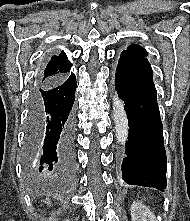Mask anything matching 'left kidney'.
I'll return each instance as SVG.
<instances>
[{
  "mask_svg": "<svg viewBox=\"0 0 190 221\" xmlns=\"http://www.w3.org/2000/svg\"><path fill=\"white\" fill-rule=\"evenodd\" d=\"M131 218L132 221H157L155 215L141 202H133Z\"/></svg>",
  "mask_w": 190,
  "mask_h": 221,
  "instance_id": "5707ae66",
  "label": "left kidney"
}]
</instances>
